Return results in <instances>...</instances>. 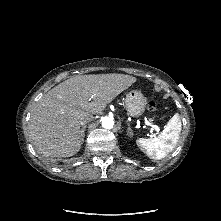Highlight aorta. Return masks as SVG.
<instances>
[{
  "mask_svg": "<svg viewBox=\"0 0 221 221\" xmlns=\"http://www.w3.org/2000/svg\"><path fill=\"white\" fill-rule=\"evenodd\" d=\"M102 126L106 129H111L114 126V120L111 117H103Z\"/></svg>",
  "mask_w": 221,
  "mask_h": 221,
  "instance_id": "762f6f07",
  "label": "aorta"
}]
</instances>
